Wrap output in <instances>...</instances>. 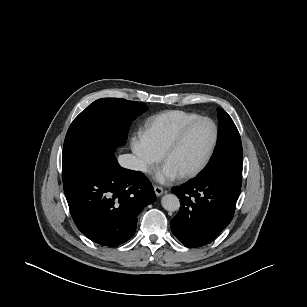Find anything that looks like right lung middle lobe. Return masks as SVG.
Masks as SVG:
<instances>
[{
    "instance_id": "1",
    "label": "right lung middle lobe",
    "mask_w": 307,
    "mask_h": 307,
    "mask_svg": "<svg viewBox=\"0 0 307 307\" xmlns=\"http://www.w3.org/2000/svg\"><path fill=\"white\" fill-rule=\"evenodd\" d=\"M146 110L142 102L102 98L70 125L63 146V184H68L125 143L130 122Z\"/></svg>"
}]
</instances>
